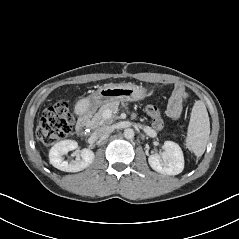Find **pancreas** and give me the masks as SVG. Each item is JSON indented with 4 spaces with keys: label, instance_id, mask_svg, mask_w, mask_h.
<instances>
[{
    "label": "pancreas",
    "instance_id": "1",
    "mask_svg": "<svg viewBox=\"0 0 239 239\" xmlns=\"http://www.w3.org/2000/svg\"><path fill=\"white\" fill-rule=\"evenodd\" d=\"M119 108V101H114L103 105L99 111L95 114L93 121L100 122L103 120L102 115L106 110H110L112 113L116 112ZM112 120H106V122H111Z\"/></svg>",
    "mask_w": 239,
    "mask_h": 239
}]
</instances>
